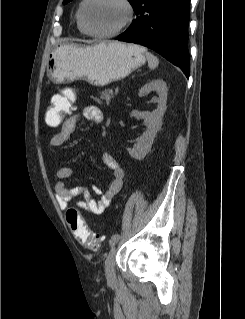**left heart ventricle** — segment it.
<instances>
[{
    "label": "left heart ventricle",
    "mask_w": 245,
    "mask_h": 319,
    "mask_svg": "<svg viewBox=\"0 0 245 319\" xmlns=\"http://www.w3.org/2000/svg\"><path fill=\"white\" fill-rule=\"evenodd\" d=\"M126 17L124 7L115 0H93L88 4L85 20L93 32H110L119 27Z\"/></svg>",
    "instance_id": "1"
}]
</instances>
